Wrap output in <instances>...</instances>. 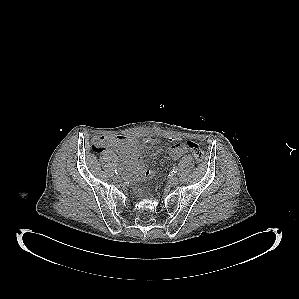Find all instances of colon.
Returning a JSON list of instances; mask_svg holds the SVG:
<instances>
[{
  "mask_svg": "<svg viewBox=\"0 0 299 299\" xmlns=\"http://www.w3.org/2000/svg\"><path fill=\"white\" fill-rule=\"evenodd\" d=\"M107 141H108V137L101 136V137L95 138L93 141V144H92V150L95 153L102 152L105 149V147L107 146ZM184 143L190 149L193 158L198 163L203 162V160L205 158V153L202 150V148L197 143H195L193 141H186Z\"/></svg>",
  "mask_w": 299,
  "mask_h": 299,
  "instance_id": "1",
  "label": "colon"
}]
</instances>
